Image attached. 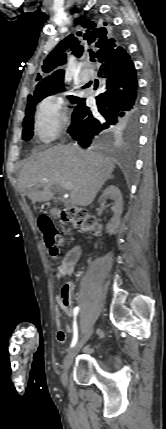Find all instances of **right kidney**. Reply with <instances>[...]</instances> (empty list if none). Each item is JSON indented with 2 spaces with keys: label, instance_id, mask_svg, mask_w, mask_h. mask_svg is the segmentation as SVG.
I'll return each instance as SVG.
<instances>
[{
  "label": "right kidney",
  "instance_id": "obj_1",
  "mask_svg": "<svg viewBox=\"0 0 166 429\" xmlns=\"http://www.w3.org/2000/svg\"><path fill=\"white\" fill-rule=\"evenodd\" d=\"M107 199L114 201L112 205L113 218L106 226L107 233L110 235L116 234L119 229L121 215L123 212V199L122 194L117 186L110 185L102 193L99 198V202L104 204Z\"/></svg>",
  "mask_w": 166,
  "mask_h": 429
}]
</instances>
